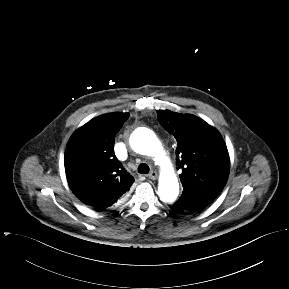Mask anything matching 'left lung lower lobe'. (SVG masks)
<instances>
[{"label":"left lung lower lobe","mask_w":289,"mask_h":289,"mask_svg":"<svg viewBox=\"0 0 289 289\" xmlns=\"http://www.w3.org/2000/svg\"><path fill=\"white\" fill-rule=\"evenodd\" d=\"M209 204V202L201 199L182 196L170 208L177 213L192 214L201 211Z\"/></svg>","instance_id":"1"}]
</instances>
